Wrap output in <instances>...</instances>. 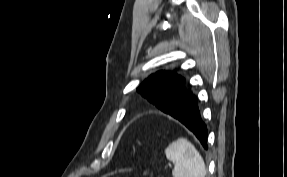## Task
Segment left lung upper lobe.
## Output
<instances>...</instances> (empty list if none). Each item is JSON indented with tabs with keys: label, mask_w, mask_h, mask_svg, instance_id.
I'll return each mask as SVG.
<instances>
[{
	"label": "left lung upper lobe",
	"mask_w": 287,
	"mask_h": 177,
	"mask_svg": "<svg viewBox=\"0 0 287 177\" xmlns=\"http://www.w3.org/2000/svg\"><path fill=\"white\" fill-rule=\"evenodd\" d=\"M185 79L176 71H158L145 79L137 91L160 110L169 113L174 96L185 89Z\"/></svg>",
	"instance_id": "obj_1"
}]
</instances>
